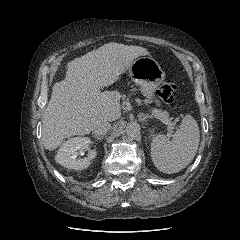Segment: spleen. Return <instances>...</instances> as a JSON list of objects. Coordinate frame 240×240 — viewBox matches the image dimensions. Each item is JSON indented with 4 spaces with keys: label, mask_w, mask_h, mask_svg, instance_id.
<instances>
[{
    "label": "spleen",
    "mask_w": 240,
    "mask_h": 240,
    "mask_svg": "<svg viewBox=\"0 0 240 240\" xmlns=\"http://www.w3.org/2000/svg\"><path fill=\"white\" fill-rule=\"evenodd\" d=\"M199 141L198 124L191 115H186L173 134L172 140L165 135L153 138L151 143L152 161L163 173H177L193 160Z\"/></svg>",
    "instance_id": "spleen-1"
}]
</instances>
